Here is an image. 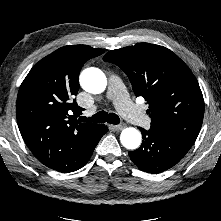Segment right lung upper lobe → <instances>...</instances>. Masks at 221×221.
Segmentation results:
<instances>
[{
	"instance_id": "obj_1",
	"label": "right lung upper lobe",
	"mask_w": 221,
	"mask_h": 221,
	"mask_svg": "<svg viewBox=\"0 0 221 221\" xmlns=\"http://www.w3.org/2000/svg\"><path fill=\"white\" fill-rule=\"evenodd\" d=\"M104 53L87 45H68L44 57L22 82L16 104L20 133L31 152L57 171L75 164L98 138L102 124L80 123L84 110L72 98L86 61Z\"/></svg>"
}]
</instances>
